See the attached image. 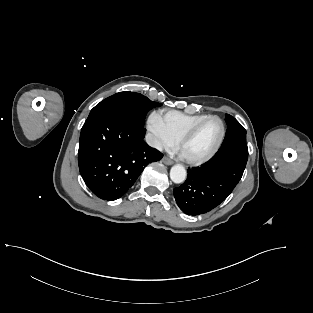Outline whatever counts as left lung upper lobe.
<instances>
[{"label":"left lung upper lobe","mask_w":313,"mask_h":313,"mask_svg":"<svg viewBox=\"0 0 313 313\" xmlns=\"http://www.w3.org/2000/svg\"><path fill=\"white\" fill-rule=\"evenodd\" d=\"M227 131L222 144L236 139L246 140L245 128L231 115L226 114Z\"/></svg>","instance_id":"5c2ea615"}]
</instances>
